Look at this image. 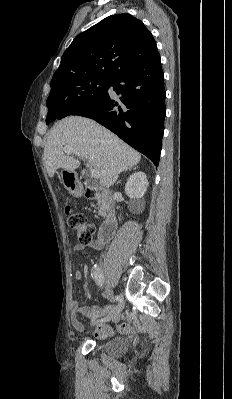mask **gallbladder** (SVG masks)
Instances as JSON below:
<instances>
[{"mask_svg": "<svg viewBox=\"0 0 232 399\" xmlns=\"http://www.w3.org/2000/svg\"><path fill=\"white\" fill-rule=\"evenodd\" d=\"M84 172H85V173H89V172H90V169H89V168H85V169H84Z\"/></svg>", "mask_w": 232, "mask_h": 399, "instance_id": "obj_1", "label": "gallbladder"}]
</instances>
